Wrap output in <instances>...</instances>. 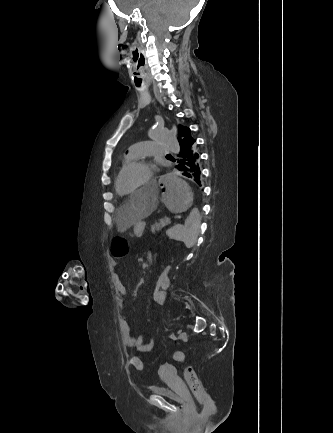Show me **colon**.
<instances>
[{"instance_id": "5ec220e1", "label": "colon", "mask_w": 333, "mask_h": 433, "mask_svg": "<svg viewBox=\"0 0 333 433\" xmlns=\"http://www.w3.org/2000/svg\"><path fill=\"white\" fill-rule=\"evenodd\" d=\"M129 239L127 236H112L111 237V257L112 258H124L126 253L129 252ZM172 269V266L169 263H166L163 266V270L158 274L157 279L155 281V286L153 290V303L156 305H160L163 302L161 298V286H163L166 277L169 275V271ZM174 358L176 361L184 364V377L186 382L188 383L193 395L200 403H204L208 399L207 390L201 381L199 375L193 366L188 364V358L186 354L182 351H178L175 353ZM131 365L137 370H143V362L139 357H132Z\"/></svg>"}]
</instances>
